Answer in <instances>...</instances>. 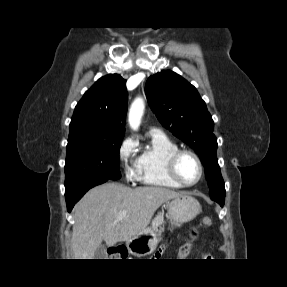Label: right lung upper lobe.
Returning a JSON list of instances; mask_svg holds the SVG:
<instances>
[{
  "mask_svg": "<svg viewBox=\"0 0 287 287\" xmlns=\"http://www.w3.org/2000/svg\"><path fill=\"white\" fill-rule=\"evenodd\" d=\"M127 99L125 80L120 75L100 78L76 105L70 132L85 128L97 136H123Z\"/></svg>",
  "mask_w": 287,
  "mask_h": 287,
  "instance_id": "1",
  "label": "right lung upper lobe"
}]
</instances>
